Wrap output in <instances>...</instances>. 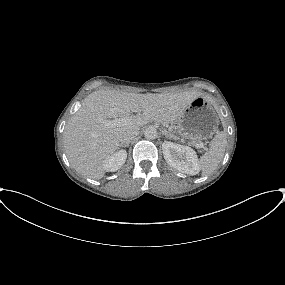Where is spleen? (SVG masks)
Returning <instances> with one entry per match:
<instances>
[{
  "mask_svg": "<svg viewBox=\"0 0 285 285\" xmlns=\"http://www.w3.org/2000/svg\"><path fill=\"white\" fill-rule=\"evenodd\" d=\"M226 138L227 135L225 132H219L210 142L209 151L202 155L199 160L202 175H209L218 167L225 153L227 145Z\"/></svg>",
  "mask_w": 285,
  "mask_h": 285,
  "instance_id": "spleen-1",
  "label": "spleen"
}]
</instances>
